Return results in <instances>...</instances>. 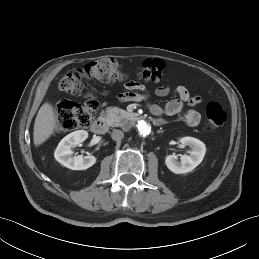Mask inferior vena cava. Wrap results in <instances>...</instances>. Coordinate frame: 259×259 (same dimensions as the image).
I'll return each instance as SVG.
<instances>
[{
    "label": "inferior vena cava",
    "instance_id": "inferior-vena-cava-1",
    "mask_svg": "<svg viewBox=\"0 0 259 259\" xmlns=\"http://www.w3.org/2000/svg\"><path fill=\"white\" fill-rule=\"evenodd\" d=\"M111 137L114 141H120L123 139L124 137V133L123 131L121 130H118V129H114L112 134H111Z\"/></svg>",
    "mask_w": 259,
    "mask_h": 259
}]
</instances>
